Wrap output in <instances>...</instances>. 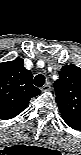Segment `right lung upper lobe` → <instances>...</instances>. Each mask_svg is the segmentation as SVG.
Masks as SVG:
<instances>
[{
	"label": "right lung upper lobe",
	"mask_w": 81,
	"mask_h": 155,
	"mask_svg": "<svg viewBox=\"0 0 81 155\" xmlns=\"http://www.w3.org/2000/svg\"><path fill=\"white\" fill-rule=\"evenodd\" d=\"M32 73L23 66V59L0 64V118L12 119L20 114L29 100L40 94L33 86Z\"/></svg>",
	"instance_id": "obj_1"
}]
</instances>
